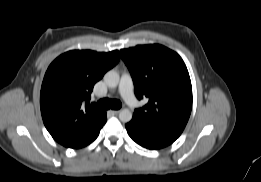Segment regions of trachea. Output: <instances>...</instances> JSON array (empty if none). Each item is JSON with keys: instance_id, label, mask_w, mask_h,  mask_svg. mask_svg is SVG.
<instances>
[{"instance_id": "1", "label": "trachea", "mask_w": 261, "mask_h": 182, "mask_svg": "<svg viewBox=\"0 0 261 182\" xmlns=\"http://www.w3.org/2000/svg\"><path fill=\"white\" fill-rule=\"evenodd\" d=\"M97 106L100 109H114V110H118L121 108L122 104L119 100L117 99H109V98H104L101 99L97 102Z\"/></svg>"}]
</instances>
